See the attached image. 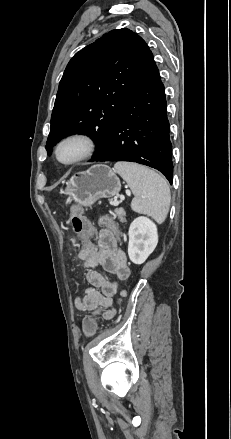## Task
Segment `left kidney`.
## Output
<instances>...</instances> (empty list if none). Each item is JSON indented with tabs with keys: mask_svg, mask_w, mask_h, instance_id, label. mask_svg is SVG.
<instances>
[{
	"mask_svg": "<svg viewBox=\"0 0 231 439\" xmlns=\"http://www.w3.org/2000/svg\"><path fill=\"white\" fill-rule=\"evenodd\" d=\"M128 255L134 264H142L158 243L156 225L147 217L140 216L129 227Z\"/></svg>",
	"mask_w": 231,
	"mask_h": 439,
	"instance_id": "1",
	"label": "left kidney"
}]
</instances>
